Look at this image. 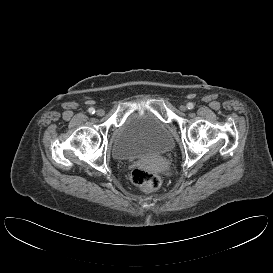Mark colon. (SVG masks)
<instances>
[{
	"label": "colon",
	"instance_id": "colon-1",
	"mask_svg": "<svg viewBox=\"0 0 273 273\" xmlns=\"http://www.w3.org/2000/svg\"><path fill=\"white\" fill-rule=\"evenodd\" d=\"M131 182L146 193L157 190L162 184V178L143 168H135L130 174Z\"/></svg>",
	"mask_w": 273,
	"mask_h": 273
}]
</instances>
